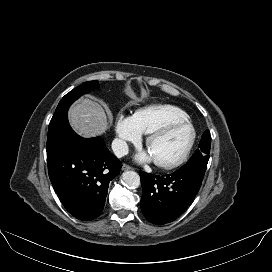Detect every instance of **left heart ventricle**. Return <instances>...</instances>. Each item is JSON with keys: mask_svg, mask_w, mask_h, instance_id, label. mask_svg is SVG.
Wrapping results in <instances>:
<instances>
[{"mask_svg": "<svg viewBox=\"0 0 272 272\" xmlns=\"http://www.w3.org/2000/svg\"><path fill=\"white\" fill-rule=\"evenodd\" d=\"M189 137L190 130L188 127L177 126L155 139L149 147V152L156 161H171L182 153Z\"/></svg>", "mask_w": 272, "mask_h": 272, "instance_id": "obj_1", "label": "left heart ventricle"}]
</instances>
